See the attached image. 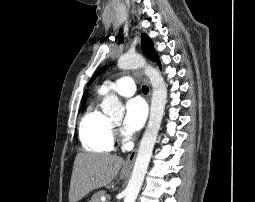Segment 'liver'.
<instances>
[{
	"label": "liver",
	"mask_w": 255,
	"mask_h": 202,
	"mask_svg": "<svg viewBox=\"0 0 255 202\" xmlns=\"http://www.w3.org/2000/svg\"><path fill=\"white\" fill-rule=\"evenodd\" d=\"M123 163V158L115 155L77 154L71 175L69 202H77L90 191L109 184Z\"/></svg>",
	"instance_id": "obj_1"
}]
</instances>
